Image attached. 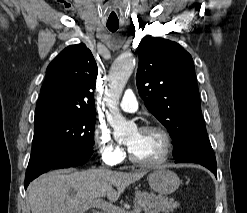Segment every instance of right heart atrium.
<instances>
[{
    "instance_id": "obj_1",
    "label": "right heart atrium",
    "mask_w": 247,
    "mask_h": 213,
    "mask_svg": "<svg viewBox=\"0 0 247 213\" xmlns=\"http://www.w3.org/2000/svg\"><path fill=\"white\" fill-rule=\"evenodd\" d=\"M93 141L100 159L108 166H117L125 159V152L113 139L105 124H97L93 132Z\"/></svg>"
}]
</instances>
